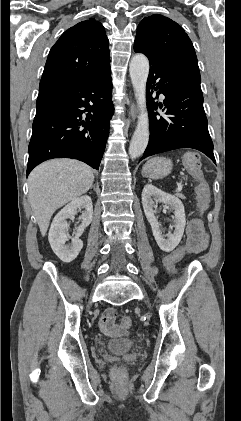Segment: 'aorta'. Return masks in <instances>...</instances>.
Segmentation results:
<instances>
[{"instance_id": "1", "label": "aorta", "mask_w": 241, "mask_h": 421, "mask_svg": "<svg viewBox=\"0 0 241 421\" xmlns=\"http://www.w3.org/2000/svg\"><path fill=\"white\" fill-rule=\"evenodd\" d=\"M129 72L140 110L137 127L129 146V155L135 159L144 153L149 141V118L146 109V83L149 74L147 57L143 54L134 55L129 65Z\"/></svg>"}]
</instances>
